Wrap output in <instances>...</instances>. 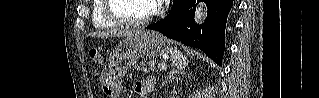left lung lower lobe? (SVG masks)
Here are the masks:
<instances>
[{
    "instance_id": "1",
    "label": "left lung lower lobe",
    "mask_w": 319,
    "mask_h": 98,
    "mask_svg": "<svg viewBox=\"0 0 319 98\" xmlns=\"http://www.w3.org/2000/svg\"><path fill=\"white\" fill-rule=\"evenodd\" d=\"M199 1L173 0L170 13L147 29L159 31L187 46L199 48L221 65L225 48V27L233 0H204L208 14L202 25L194 22V12Z\"/></svg>"
}]
</instances>
